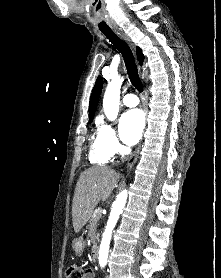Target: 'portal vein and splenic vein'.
Here are the masks:
<instances>
[{
  "mask_svg": "<svg viewBox=\"0 0 221 278\" xmlns=\"http://www.w3.org/2000/svg\"><path fill=\"white\" fill-rule=\"evenodd\" d=\"M96 212L101 215V209L96 210Z\"/></svg>",
  "mask_w": 221,
  "mask_h": 278,
  "instance_id": "portal-vein-and-splenic-vein-1",
  "label": "portal vein and splenic vein"
}]
</instances>
